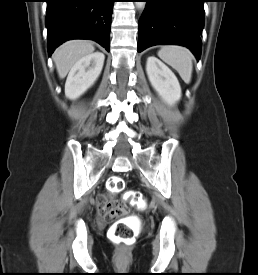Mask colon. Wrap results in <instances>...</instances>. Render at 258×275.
I'll return each mask as SVG.
<instances>
[{"label": "colon", "instance_id": "1", "mask_svg": "<svg viewBox=\"0 0 258 275\" xmlns=\"http://www.w3.org/2000/svg\"><path fill=\"white\" fill-rule=\"evenodd\" d=\"M107 188L111 194L118 193L124 188V180L121 177L114 176L108 181ZM125 201L144 210L147 207L146 198L138 191H128L124 196ZM127 209L125 207H114L110 205L103 212L102 215L106 219H113L116 215H125ZM108 237L110 240L118 243L130 245L134 241L133 230L128 227L122 220H117L108 230Z\"/></svg>", "mask_w": 258, "mask_h": 275}]
</instances>
